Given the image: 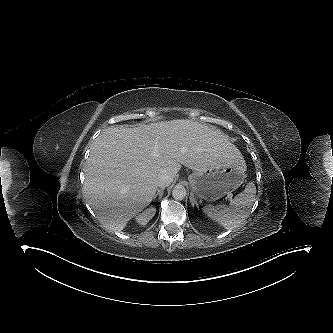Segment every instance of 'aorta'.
I'll use <instances>...</instances> for the list:
<instances>
[{"label":"aorta","mask_w":333,"mask_h":333,"mask_svg":"<svg viewBox=\"0 0 333 333\" xmlns=\"http://www.w3.org/2000/svg\"><path fill=\"white\" fill-rule=\"evenodd\" d=\"M186 194V188L182 185H176L172 190V196L175 200H183Z\"/></svg>","instance_id":"obj_1"}]
</instances>
